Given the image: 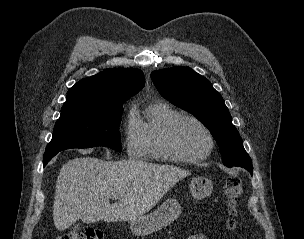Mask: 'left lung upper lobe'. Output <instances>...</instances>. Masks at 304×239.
I'll list each match as a JSON object with an SVG mask.
<instances>
[{
	"label": "left lung upper lobe",
	"mask_w": 304,
	"mask_h": 239,
	"mask_svg": "<svg viewBox=\"0 0 304 239\" xmlns=\"http://www.w3.org/2000/svg\"><path fill=\"white\" fill-rule=\"evenodd\" d=\"M151 79L164 98L199 118L211 131L224 165L253 171L251 158L232 124L222 96L205 77L188 67L175 66L153 71Z\"/></svg>",
	"instance_id": "left-lung-upper-lobe-1"
}]
</instances>
